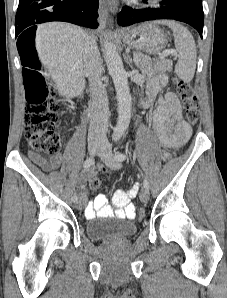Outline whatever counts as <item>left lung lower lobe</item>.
<instances>
[{"instance_id":"obj_1","label":"left lung lower lobe","mask_w":227,"mask_h":298,"mask_svg":"<svg viewBox=\"0 0 227 298\" xmlns=\"http://www.w3.org/2000/svg\"><path fill=\"white\" fill-rule=\"evenodd\" d=\"M146 1V0H145ZM159 8L132 9L125 6L118 16L120 26L156 19H174L193 26L202 37L204 13L202 0H162Z\"/></svg>"}]
</instances>
